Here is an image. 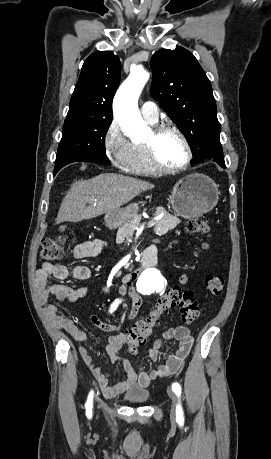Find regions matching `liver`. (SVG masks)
Listing matches in <instances>:
<instances>
[{
	"mask_svg": "<svg viewBox=\"0 0 271 459\" xmlns=\"http://www.w3.org/2000/svg\"><path fill=\"white\" fill-rule=\"evenodd\" d=\"M152 188L153 184L149 182L121 174H100L92 180H79L67 192L56 218L57 224L81 222L114 212L141 192Z\"/></svg>",
	"mask_w": 271,
	"mask_h": 459,
	"instance_id": "6515ba94",
	"label": "liver"
}]
</instances>
